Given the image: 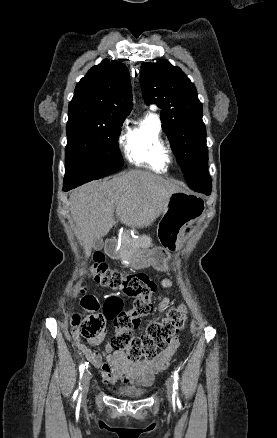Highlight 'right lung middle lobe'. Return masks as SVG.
Here are the masks:
<instances>
[{
    "instance_id": "right-lung-middle-lobe-1",
    "label": "right lung middle lobe",
    "mask_w": 277,
    "mask_h": 438,
    "mask_svg": "<svg viewBox=\"0 0 277 438\" xmlns=\"http://www.w3.org/2000/svg\"><path fill=\"white\" fill-rule=\"evenodd\" d=\"M122 123L68 120L64 185L79 186L123 166L118 147Z\"/></svg>"
}]
</instances>
